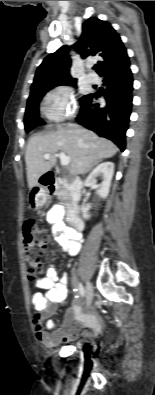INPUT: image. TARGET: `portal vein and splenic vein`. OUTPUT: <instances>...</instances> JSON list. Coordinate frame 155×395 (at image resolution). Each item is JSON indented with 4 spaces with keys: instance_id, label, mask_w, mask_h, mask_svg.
Masks as SVG:
<instances>
[{
    "instance_id": "1",
    "label": "portal vein and splenic vein",
    "mask_w": 155,
    "mask_h": 395,
    "mask_svg": "<svg viewBox=\"0 0 155 395\" xmlns=\"http://www.w3.org/2000/svg\"><path fill=\"white\" fill-rule=\"evenodd\" d=\"M57 156L60 158V163L62 166H66L70 163V157L66 156L65 153L60 152L59 154H57ZM44 159L48 160L50 158V154H44Z\"/></svg>"
}]
</instances>
